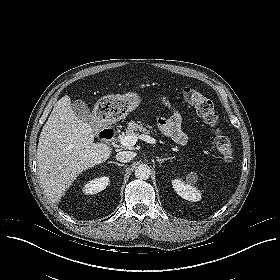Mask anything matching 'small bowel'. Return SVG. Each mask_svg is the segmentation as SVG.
<instances>
[{
    "mask_svg": "<svg viewBox=\"0 0 280 280\" xmlns=\"http://www.w3.org/2000/svg\"><path fill=\"white\" fill-rule=\"evenodd\" d=\"M164 105H167L165 100L162 101ZM158 127L164 135L171 138L179 145H185L187 143V134L182 130V116L179 112L172 110L169 117L158 116L156 118Z\"/></svg>",
    "mask_w": 280,
    "mask_h": 280,
    "instance_id": "c3829d8e",
    "label": "small bowel"
}]
</instances>
